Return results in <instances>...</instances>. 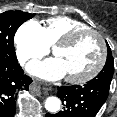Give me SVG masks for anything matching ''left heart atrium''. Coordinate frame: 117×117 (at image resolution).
<instances>
[{"label":"left heart atrium","mask_w":117,"mask_h":117,"mask_svg":"<svg viewBox=\"0 0 117 117\" xmlns=\"http://www.w3.org/2000/svg\"><path fill=\"white\" fill-rule=\"evenodd\" d=\"M28 70L31 74L49 81L58 80L65 76L64 68L56 57L42 62H34L29 65Z\"/></svg>","instance_id":"39dd6f15"}]
</instances>
